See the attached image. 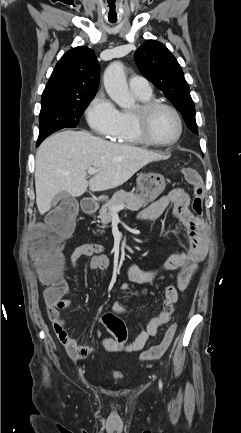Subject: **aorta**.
Returning <instances> with one entry per match:
<instances>
[{
  "label": "aorta",
  "instance_id": "762f6f07",
  "mask_svg": "<svg viewBox=\"0 0 241 433\" xmlns=\"http://www.w3.org/2000/svg\"><path fill=\"white\" fill-rule=\"evenodd\" d=\"M104 87L109 97L121 108H131L135 101L129 92L123 64L119 61L111 63L105 70Z\"/></svg>",
  "mask_w": 241,
  "mask_h": 433
}]
</instances>
